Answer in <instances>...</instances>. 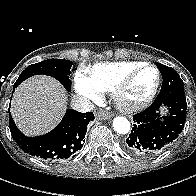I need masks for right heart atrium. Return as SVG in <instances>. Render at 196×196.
Here are the masks:
<instances>
[{"mask_svg":"<svg viewBox=\"0 0 196 196\" xmlns=\"http://www.w3.org/2000/svg\"><path fill=\"white\" fill-rule=\"evenodd\" d=\"M75 89L89 102H98L102 98V91L94 85L83 70H78L75 74Z\"/></svg>","mask_w":196,"mask_h":196,"instance_id":"right-heart-atrium-1","label":"right heart atrium"}]
</instances>
